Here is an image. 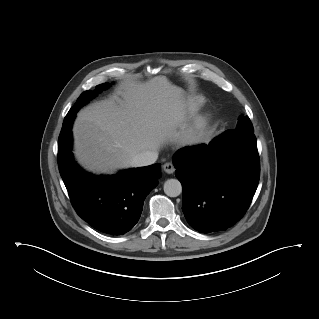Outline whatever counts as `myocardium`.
<instances>
[{"mask_svg": "<svg viewBox=\"0 0 319 319\" xmlns=\"http://www.w3.org/2000/svg\"><path fill=\"white\" fill-rule=\"evenodd\" d=\"M207 122V118H204L203 121H202V125H205Z\"/></svg>", "mask_w": 319, "mask_h": 319, "instance_id": "obj_1", "label": "myocardium"}]
</instances>
